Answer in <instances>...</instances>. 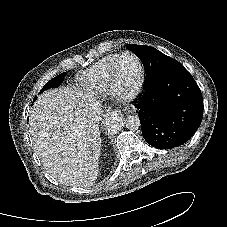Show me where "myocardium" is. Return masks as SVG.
<instances>
[{
    "mask_svg": "<svg viewBox=\"0 0 227 227\" xmlns=\"http://www.w3.org/2000/svg\"><path fill=\"white\" fill-rule=\"evenodd\" d=\"M126 56H131L133 57L138 65L139 68V76L137 79V82L135 83L134 87L130 90H124L117 82L116 79V69L118 66L119 61L126 57ZM109 81H110V89L111 92L116 96L118 99L122 101H129L135 98L141 91L143 83H144V76H145V69L142 60L138 55H136L133 52L130 51H125L121 54L118 55L116 60L113 62V64L110 67L109 70Z\"/></svg>",
    "mask_w": 227,
    "mask_h": 227,
    "instance_id": "myocardium-1",
    "label": "myocardium"
}]
</instances>
